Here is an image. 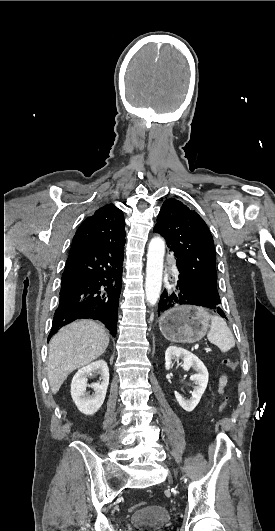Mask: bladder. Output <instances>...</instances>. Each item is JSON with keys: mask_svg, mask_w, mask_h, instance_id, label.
<instances>
[{"mask_svg": "<svg viewBox=\"0 0 275 531\" xmlns=\"http://www.w3.org/2000/svg\"><path fill=\"white\" fill-rule=\"evenodd\" d=\"M171 513L164 505L148 504L133 512L131 517L135 531H158V526L169 524Z\"/></svg>", "mask_w": 275, "mask_h": 531, "instance_id": "obj_1", "label": "bladder"}]
</instances>
